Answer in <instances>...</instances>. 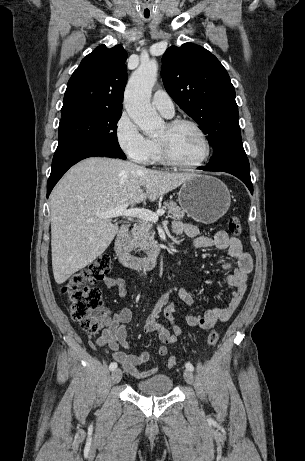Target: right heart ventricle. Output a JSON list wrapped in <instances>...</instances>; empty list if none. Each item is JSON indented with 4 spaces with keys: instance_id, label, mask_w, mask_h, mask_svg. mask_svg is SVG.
Wrapping results in <instances>:
<instances>
[{
    "instance_id": "obj_1",
    "label": "right heart ventricle",
    "mask_w": 305,
    "mask_h": 461,
    "mask_svg": "<svg viewBox=\"0 0 305 461\" xmlns=\"http://www.w3.org/2000/svg\"><path fill=\"white\" fill-rule=\"evenodd\" d=\"M151 142V151L148 163H159L164 164L165 161L162 157L159 142L157 139L150 140Z\"/></svg>"
}]
</instances>
